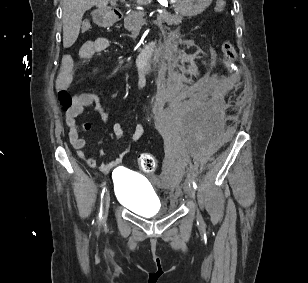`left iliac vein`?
<instances>
[{"label": "left iliac vein", "instance_id": "1", "mask_svg": "<svg viewBox=\"0 0 308 283\" xmlns=\"http://www.w3.org/2000/svg\"><path fill=\"white\" fill-rule=\"evenodd\" d=\"M185 192L190 198H195V189L190 182H186L184 185ZM198 218H201L198 214Z\"/></svg>", "mask_w": 308, "mask_h": 283}]
</instances>
